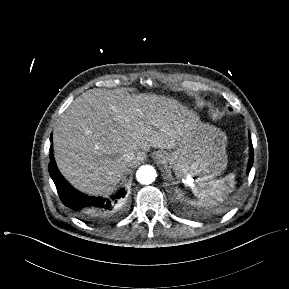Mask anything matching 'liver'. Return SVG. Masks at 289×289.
<instances>
[{
    "mask_svg": "<svg viewBox=\"0 0 289 289\" xmlns=\"http://www.w3.org/2000/svg\"><path fill=\"white\" fill-rule=\"evenodd\" d=\"M193 117L165 96L88 90L60 115L54 128L57 167L79 191L109 194L130 167L126 154L139 155L141 161L151 147L175 148Z\"/></svg>",
    "mask_w": 289,
    "mask_h": 289,
    "instance_id": "liver-1",
    "label": "liver"
}]
</instances>
